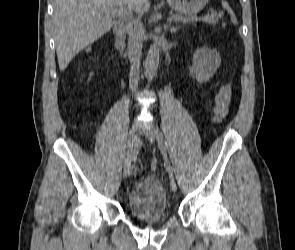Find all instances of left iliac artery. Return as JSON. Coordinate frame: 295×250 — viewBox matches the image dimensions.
I'll return each mask as SVG.
<instances>
[{
  "mask_svg": "<svg viewBox=\"0 0 295 250\" xmlns=\"http://www.w3.org/2000/svg\"><path fill=\"white\" fill-rule=\"evenodd\" d=\"M155 135H156V140L158 143V147L161 151V153L164 155L165 158V167L166 170L168 172L169 177L172 179L173 178V168L171 166V164L169 163V161L167 160V154H166V149H167V145H166V141L164 139V136L162 134V132L160 131V129L157 127L155 130Z\"/></svg>",
  "mask_w": 295,
  "mask_h": 250,
  "instance_id": "left-iliac-artery-1",
  "label": "left iliac artery"
}]
</instances>
